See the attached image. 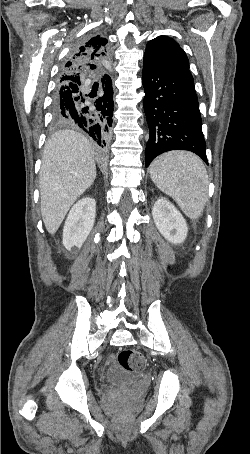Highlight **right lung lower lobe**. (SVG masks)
I'll return each instance as SVG.
<instances>
[{
  "label": "right lung lower lobe",
  "instance_id": "right-lung-lower-lobe-1",
  "mask_svg": "<svg viewBox=\"0 0 250 454\" xmlns=\"http://www.w3.org/2000/svg\"><path fill=\"white\" fill-rule=\"evenodd\" d=\"M104 94L82 92V80L79 84L70 83L58 86L53 101V117L61 125L77 126L87 132L99 146L105 147L110 136L113 117L112 80L104 74L101 78Z\"/></svg>",
  "mask_w": 250,
  "mask_h": 454
}]
</instances>
